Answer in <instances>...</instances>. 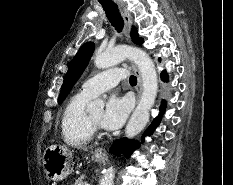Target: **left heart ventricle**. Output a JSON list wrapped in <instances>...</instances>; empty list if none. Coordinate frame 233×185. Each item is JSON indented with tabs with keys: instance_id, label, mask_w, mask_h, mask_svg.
I'll list each match as a JSON object with an SVG mask.
<instances>
[{
	"instance_id": "obj_1",
	"label": "left heart ventricle",
	"mask_w": 233,
	"mask_h": 185,
	"mask_svg": "<svg viewBox=\"0 0 233 185\" xmlns=\"http://www.w3.org/2000/svg\"><path fill=\"white\" fill-rule=\"evenodd\" d=\"M102 114H103V111L98 110V111H95L94 113L90 114V116L94 121H96L97 123H100Z\"/></svg>"
}]
</instances>
